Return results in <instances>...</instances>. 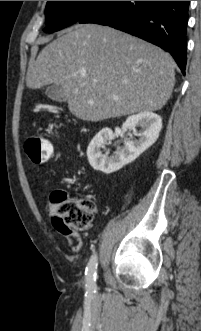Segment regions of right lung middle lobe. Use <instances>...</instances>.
Here are the masks:
<instances>
[{
  "label": "right lung middle lobe",
  "instance_id": "dd1d6c3e",
  "mask_svg": "<svg viewBox=\"0 0 201 331\" xmlns=\"http://www.w3.org/2000/svg\"><path fill=\"white\" fill-rule=\"evenodd\" d=\"M105 1H48L45 32H54L78 22Z\"/></svg>",
  "mask_w": 201,
  "mask_h": 331
}]
</instances>
